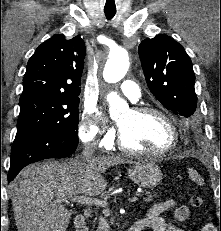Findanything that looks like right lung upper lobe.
I'll list each match as a JSON object with an SVG mask.
<instances>
[{
    "mask_svg": "<svg viewBox=\"0 0 221 231\" xmlns=\"http://www.w3.org/2000/svg\"><path fill=\"white\" fill-rule=\"evenodd\" d=\"M85 44L79 37L65 39L54 35L31 56L23 78L20 99L33 96H70L80 94Z\"/></svg>",
    "mask_w": 221,
    "mask_h": 231,
    "instance_id": "right-lung-upper-lobe-1",
    "label": "right lung upper lobe"
}]
</instances>
